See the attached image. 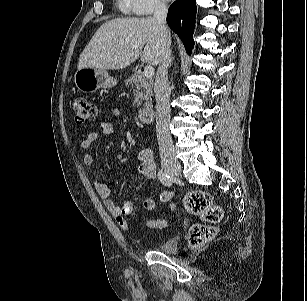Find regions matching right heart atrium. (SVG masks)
Segmentation results:
<instances>
[{
	"mask_svg": "<svg viewBox=\"0 0 307 301\" xmlns=\"http://www.w3.org/2000/svg\"><path fill=\"white\" fill-rule=\"evenodd\" d=\"M125 8L137 15H150L166 9L167 0H124Z\"/></svg>",
	"mask_w": 307,
	"mask_h": 301,
	"instance_id": "d8ad5b80",
	"label": "right heart atrium"
}]
</instances>
